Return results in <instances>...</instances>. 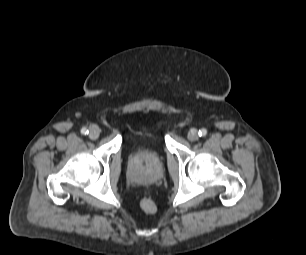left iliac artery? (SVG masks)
Here are the masks:
<instances>
[{
  "instance_id": "44dca946",
  "label": "left iliac artery",
  "mask_w": 306,
  "mask_h": 255,
  "mask_svg": "<svg viewBox=\"0 0 306 255\" xmlns=\"http://www.w3.org/2000/svg\"><path fill=\"white\" fill-rule=\"evenodd\" d=\"M207 134V130L205 128H202L199 130V136L204 137Z\"/></svg>"
}]
</instances>
